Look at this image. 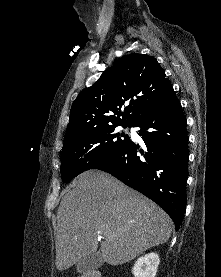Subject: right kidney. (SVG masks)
Wrapping results in <instances>:
<instances>
[{"label": "right kidney", "instance_id": "right-kidney-1", "mask_svg": "<svg viewBox=\"0 0 221 277\" xmlns=\"http://www.w3.org/2000/svg\"><path fill=\"white\" fill-rule=\"evenodd\" d=\"M160 263L157 253H149L137 259L132 273L134 277H155Z\"/></svg>", "mask_w": 221, "mask_h": 277}]
</instances>
